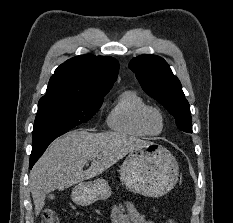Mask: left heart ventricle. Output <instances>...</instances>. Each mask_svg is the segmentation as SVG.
<instances>
[{
	"label": "left heart ventricle",
	"mask_w": 233,
	"mask_h": 223,
	"mask_svg": "<svg viewBox=\"0 0 233 223\" xmlns=\"http://www.w3.org/2000/svg\"><path fill=\"white\" fill-rule=\"evenodd\" d=\"M147 124L151 132L159 133L163 130L164 121L161 114L157 111H151L147 115Z\"/></svg>",
	"instance_id": "left-heart-ventricle-1"
}]
</instances>
